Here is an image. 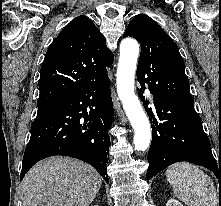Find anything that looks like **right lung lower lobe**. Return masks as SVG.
Returning a JSON list of instances; mask_svg holds the SVG:
<instances>
[{
	"mask_svg": "<svg viewBox=\"0 0 221 206\" xmlns=\"http://www.w3.org/2000/svg\"><path fill=\"white\" fill-rule=\"evenodd\" d=\"M113 120L108 75L78 95L39 108L31 125L20 180L38 161L53 155L83 160L108 182L107 162Z\"/></svg>",
	"mask_w": 221,
	"mask_h": 206,
	"instance_id": "obj_1",
	"label": "right lung lower lobe"
}]
</instances>
